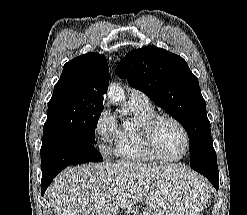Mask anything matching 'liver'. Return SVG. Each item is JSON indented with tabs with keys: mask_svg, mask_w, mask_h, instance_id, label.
Instances as JSON below:
<instances>
[{
	"mask_svg": "<svg viewBox=\"0 0 247 215\" xmlns=\"http://www.w3.org/2000/svg\"><path fill=\"white\" fill-rule=\"evenodd\" d=\"M184 170L163 163L130 162L70 167L57 176L46 195L54 215H116L119 208L148 199Z\"/></svg>",
	"mask_w": 247,
	"mask_h": 215,
	"instance_id": "obj_1",
	"label": "liver"
}]
</instances>
